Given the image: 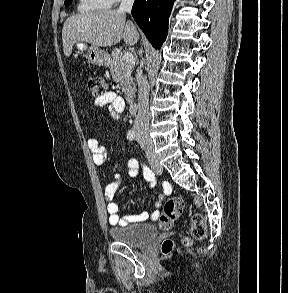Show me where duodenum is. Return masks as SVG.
Listing matches in <instances>:
<instances>
[{
	"mask_svg": "<svg viewBox=\"0 0 288 293\" xmlns=\"http://www.w3.org/2000/svg\"><path fill=\"white\" fill-rule=\"evenodd\" d=\"M129 110L133 114H135L137 112L138 103L136 102V100H134V99L129 100Z\"/></svg>",
	"mask_w": 288,
	"mask_h": 293,
	"instance_id": "410a0bca",
	"label": "duodenum"
}]
</instances>
